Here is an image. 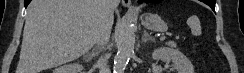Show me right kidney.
Returning a JSON list of instances; mask_svg holds the SVG:
<instances>
[{"mask_svg": "<svg viewBox=\"0 0 244 73\" xmlns=\"http://www.w3.org/2000/svg\"><path fill=\"white\" fill-rule=\"evenodd\" d=\"M82 69V65L78 63H71L55 69L53 73H81Z\"/></svg>", "mask_w": 244, "mask_h": 73, "instance_id": "1", "label": "right kidney"}]
</instances>
